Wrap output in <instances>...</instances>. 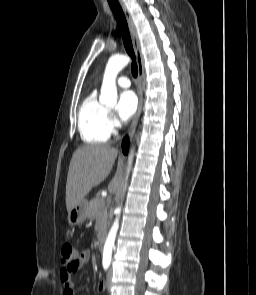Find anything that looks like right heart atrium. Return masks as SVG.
Listing matches in <instances>:
<instances>
[{
  "mask_svg": "<svg viewBox=\"0 0 256 295\" xmlns=\"http://www.w3.org/2000/svg\"><path fill=\"white\" fill-rule=\"evenodd\" d=\"M108 124H109L110 130L112 132L115 131L117 127V121L112 113H108Z\"/></svg>",
  "mask_w": 256,
  "mask_h": 295,
  "instance_id": "obj_1",
  "label": "right heart atrium"
}]
</instances>
